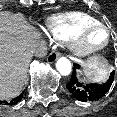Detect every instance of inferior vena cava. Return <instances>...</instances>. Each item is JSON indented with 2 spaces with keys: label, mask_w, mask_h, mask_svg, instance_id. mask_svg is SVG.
<instances>
[{
  "label": "inferior vena cava",
  "mask_w": 117,
  "mask_h": 117,
  "mask_svg": "<svg viewBox=\"0 0 117 117\" xmlns=\"http://www.w3.org/2000/svg\"><path fill=\"white\" fill-rule=\"evenodd\" d=\"M31 52L32 55H35L36 57H45L47 55L46 43L44 41H38L35 43Z\"/></svg>",
  "instance_id": "602c4592"
}]
</instances>
